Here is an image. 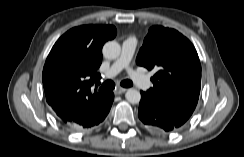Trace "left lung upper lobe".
Segmentation results:
<instances>
[{"label": "left lung upper lobe", "mask_w": 244, "mask_h": 157, "mask_svg": "<svg viewBox=\"0 0 244 157\" xmlns=\"http://www.w3.org/2000/svg\"><path fill=\"white\" fill-rule=\"evenodd\" d=\"M136 63L155 69L154 97L181 126L192 115L201 87V64L192 43L178 31L153 26L144 39Z\"/></svg>", "instance_id": "1"}]
</instances>
